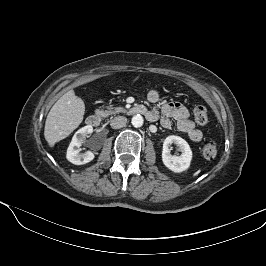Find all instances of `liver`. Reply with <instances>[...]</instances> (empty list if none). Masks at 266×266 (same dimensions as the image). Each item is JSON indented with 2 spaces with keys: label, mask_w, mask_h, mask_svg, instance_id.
<instances>
[{
  "label": "liver",
  "mask_w": 266,
  "mask_h": 266,
  "mask_svg": "<svg viewBox=\"0 0 266 266\" xmlns=\"http://www.w3.org/2000/svg\"><path fill=\"white\" fill-rule=\"evenodd\" d=\"M85 104L73 90L61 96L49 111L44 137L50 147L69 136L83 121Z\"/></svg>",
  "instance_id": "liver-1"
}]
</instances>
